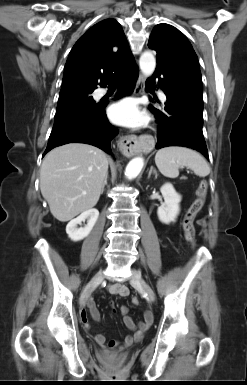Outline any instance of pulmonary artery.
<instances>
[{
    "instance_id": "1",
    "label": "pulmonary artery",
    "mask_w": 247,
    "mask_h": 385,
    "mask_svg": "<svg viewBox=\"0 0 247 385\" xmlns=\"http://www.w3.org/2000/svg\"><path fill=\"white\" fill-rule=\"evenodd\" d=\"M106 93V90L105 89H103V88H100V89H98L97 91H96V94H97V96H102V95H104ZM160 98L162 99V100H165L166 99V96H165V94L162 92V91H160Z\"/></svg>"
}]
</instances>
